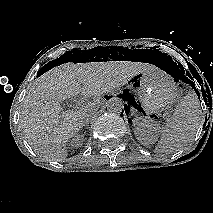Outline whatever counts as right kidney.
Wrapping results in <instances>:
<instances>
[{
  "instance_id": "right-kidney-1",
  "label": "right kidney",
  "mask_w": 213,
  "mask_h": 213,
  "mask_svg": "<svg viewBox=\"0 0 213 213\" xmlns=\"http://www.w3.org/2000/svg\"><path fill=\"white\" fill-rule=\"evenodd\" d=\"M84 139L82 135H76L70 142V145L74 148L81 147L83 145Z\"/></svg>"
}]
</instances>
